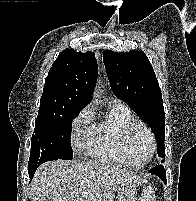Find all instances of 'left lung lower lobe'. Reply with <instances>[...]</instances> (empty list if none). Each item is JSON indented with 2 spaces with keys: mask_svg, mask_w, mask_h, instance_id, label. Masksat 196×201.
<instances>
[{
  "mask_svg": "<svg viewBox=\"0 0 196 201\" xmlns=\"http://www.w3.org/2000/svg\"><path fill=\"white\" fill-rule=\"evenodd\" d=\"M150 173L158 176L164 183H166V171L163 165H157L150 170Z\"/></svg>",
  "mask_w": 196,
  "mask_h": 201,
  "instance_id": "0a47b994",
  "label": "left lung lower lobe"
}]
</instances>
